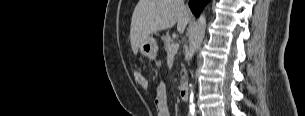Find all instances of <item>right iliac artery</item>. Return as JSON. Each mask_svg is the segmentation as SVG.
<instances>
[{
    "mask_svg": "<svg viewBox=\"0 0 305 116\" xmlns=\"http://www.w3.org/2000/svg\"><path fill=\"white\" fill-rule=\"evenodd\" d=\"M188 116H196L194 112H191Z\"/></svg>",
    "mask_w": 305,
    "mask_h": 116,
    "instance_id": "82829eb1",
    "label": "right iliac artery"
}]
</instances>
